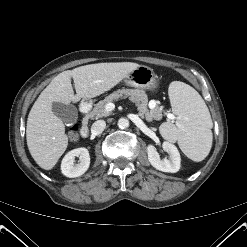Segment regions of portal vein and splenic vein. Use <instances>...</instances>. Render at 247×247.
Instances as JSON below:
<instances>
[{
    "label": "portal vein and splenic vein",
    "mask_w": 247,
    "mask_h": 247,
    "mask_svg": "<svg viewBox=\"0 0 247 247\" xmlns=\"http://www.w3.org/2000/svg\"><path fill=\"white\" fill-rule=\"evenodd\" d=\"M115 108V105L113 103H108L106 105V110L108 111H112L113 109ZM167 117L170 119V120H174L176 117L174 116V114L172 113H168L167 114Z\"/></svg>",
    "instance_id": "obj_1"
}]
</instances>
